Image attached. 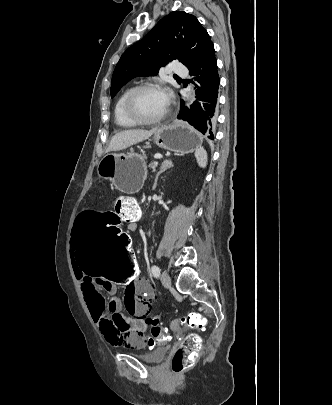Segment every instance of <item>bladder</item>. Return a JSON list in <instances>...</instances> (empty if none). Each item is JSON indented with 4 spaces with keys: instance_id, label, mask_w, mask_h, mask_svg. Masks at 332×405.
Returning <instances> with one entry per match:
<instances>
[{
    "instance_id": "obj_1",
    "label": "bladder",
    "mask_w": 332,
    "mask_h": 405,
    "mask_svg": "<svg viewBox=\"0 0 332 405\" xmlns=\"http://www.w3.org/2000/svg\"><path fill=\"white\" fill-rule=\"evenodd\" d=\"M168 352L167 346L158 347L150 352L136 354L145 363L157 364L164 360Z\"/></svg>"
}]
</instances>
